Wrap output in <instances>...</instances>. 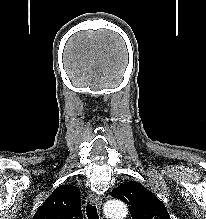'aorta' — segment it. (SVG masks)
Listing matches in <instances>:
<instances>
[{
  "label": "aorta",
  "mask_w": 206,
  "mask_h": 219,
  "mask_svg": "<svg viewBox=\"0 0 206 219\" xmlns=\"http://www.w3.org/2000/svg\"><path fill=\"white\" fill-rule=\"evenodd\" d=\"M105 213L110 219H123L127 215V206L120 200H111L105 205Z\"/></svg>",
  "instance_id": "1"
}]
</instances>
